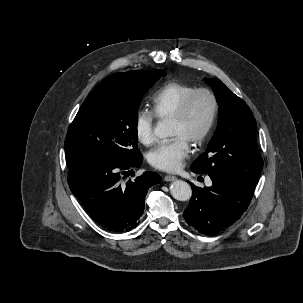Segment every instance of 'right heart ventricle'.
Masks as SVG:
<instances>
[{"instance_id": "right-heart-ventricle-1", "label": "right heart ventricle", "mask_w": 303, "mask_h": 303, "mask_svg": "<svg viewBox=\"0 0 303 303\" xmlns=\"http://www.w3.org/2000/svg\"><path fill=\"white\" fill-rule=\"evenodd\" d=\"M195 89L194 86L178 81L164 84L153 96V115L160 120L171 119L186 96Z\"/></svg>"}]
</instances>
